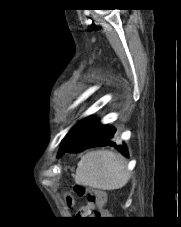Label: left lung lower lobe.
<instances>
[{
    "mask_svg": "<svg viewBox=\"0 0 181 227\" xmlns=\"http://www.w3.org/2000/svg\"><path fill=\"white\" fill-rule=\"evenodd\" d=\"M114 133V128L101 125L99 121L90 120L80 135L61 150L58 157L62 156L66 152H80L96 146H112L120 151L123 155L128 156L125 145H117L111 140L114 136Z\"/></svg>",
    "mask_w": 181,
    "mask_h": 227,
    "instance_id": "1",
    "label": "left lung lower lobe"
}]
</instances>
